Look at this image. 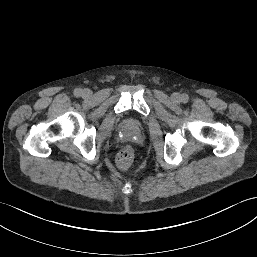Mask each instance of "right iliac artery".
<instances>
[{
    "label": "right iliac artery",
    "instance_id": "obj_1",
    "mask_svg": "<svg viewBox=\"0 0 257 257\" xmlns=\"http://www.w3.org/2000/svg\"><path fill=\"white\" fill-rule=\"evenodd\" d=\"M81 93H82V91H81V89H79V88H77V89L74 90V95H75L76 97L80 96Z\"/></svg>",
    "mask_w": 257,
    "mask_h": 257
}]
</instances>
